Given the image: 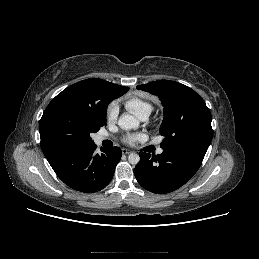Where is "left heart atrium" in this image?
<instances>
[{"mask_svg": "<svg viewBox=\"0 0 259 259\" xmlns=\"http://www.w3.org/2000/svg\"><path fill=\"white\" fill-rule=\"evenodd\" d=\"M139 137L140 135H130L126 138V142L128 144H133Z\"/></svg>", "mask_w": 259, "mask_h": 259, "instance_id": "39dd6f15", "label": "left heart atrium"}]
</instances>
